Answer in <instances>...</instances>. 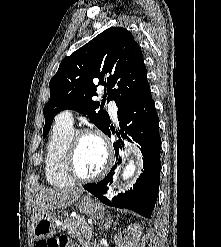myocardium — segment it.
I'll return each mask as SVG.
<instances>
[{
    "label": "myocardium",
    "mask_w": 221,
    "mask_h": 247,
    "mask_svg": "<svg viewBox=\"0 0 221 247\" xmlns=\"http://www.w3.org/2000/svg\"><path fill=\"white\" fill-rule=\"evenodd\" d=\"M94 136L96 137L102 144L105 150V164L103 168L93 176H83L77 169L76 165V154L79 146V142L84 136ZM114 161V152L113 148L106 138V136L97 129L91 128H83L77 129L74 131L73 136L70 140L67 154H66V171L68 175L76 182L87 183L94 182L101 178H103L111 169Z\"/></svg>",
    "instance_id": "1"
}]
</instances>
